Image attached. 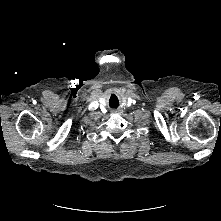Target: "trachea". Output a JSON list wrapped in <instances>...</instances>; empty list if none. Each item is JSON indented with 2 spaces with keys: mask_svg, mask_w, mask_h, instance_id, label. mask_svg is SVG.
<instances>
[{
  "mask_svg": "<svg viewBox=\"0 0 221 221\" xmlns=\"http://www.w3.org/2000/svg\"><path fill=\"white\" fill-rule=\"evenodd\" d=\"M109 105L111 108H117L119 106L118 98L115 95L111 96L110 101H109Z\"/></svg>",
  "mask_w": 221,
  "mask_h": 221,
  "instance_id": "3493384b",
  "label": "trachea"
}]
</instances>
